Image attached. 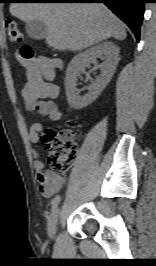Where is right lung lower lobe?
Instances as JSON below:
<instances>
[{
    "instance_id": "98d812e1",
    "label": "right lung lower lobe",
    "mask_w": 156,
    "mask_h": 266,
    "mask_svg": "<svg viewBox=\"0 0 156 266\" xmlns=\"http://www.w3.org/2000/svg\"><path fill=\"white\" fill-rule=\"evenodd\" d=\"M58 3H104L123 20L139 41L146 0H49Z\"/></svg>"
}]
</instances>
